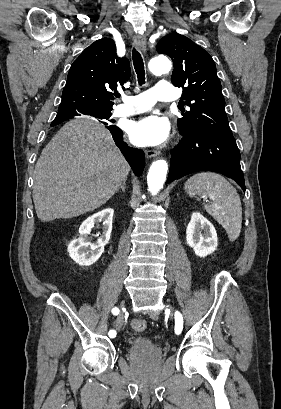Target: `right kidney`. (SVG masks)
<instances>
[{"label":"right kidney","mask_w":281,"mask_h":409,"mask_svg":"<svg viewBox=\"0 0 281 409\" xmlns=\"http://www.w3.org/2000/svg\"><path fill=\"white\" fill-rule=\"evenodd\" d=\"M113 209H103L99 213H95L92 217H88L86 221H83L82 225L79 227L78 239H73L68 245V251H70L71 259L78 263V265H93L104 253V247L107 245L111 231H112V219H113ZM103 221L102 235L95 241V243H90L88 235L91 233L96 223H101Z\"/></svg>","instance_id":"obj_1"}]
</instances>
